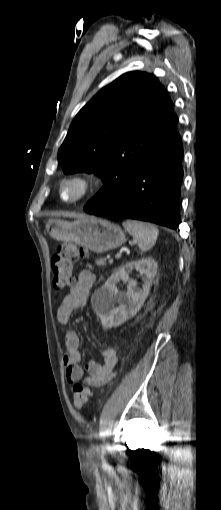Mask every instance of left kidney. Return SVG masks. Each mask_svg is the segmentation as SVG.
<instances>
[{"label":"left kidney","mask_w":221,"mask_h":510,"mask_svg":"<svg viewBox=\"0 0 221 510\" xmlns=\"http://www.w3.org/2000/svg\"><path fill=\"white\" fill-rule=\"evenodd\" d=\"M157 267V262L150 257L128 262L114 271L94 293L91 299L92 307L101 319L103 329L117 327L137 314L149 295ZM133 270L144 277L142 288H137V282L129 278V273ZM120 280L128 283L127 292L118 291L116 284Z\"/></svg>","instance_id":"obj_1"}]
</instances>
